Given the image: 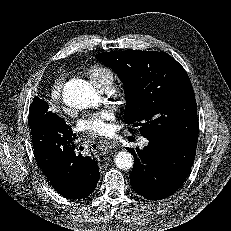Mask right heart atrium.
<instances>
[{
  "label": "right heart atrium",
  "instance_id": "1",
  "mask_svg": "<svg viewBox=\"0 0 231 231\" xmlns=\"http://www.w3.org/2000/svg\"><path fill=\"white\" fill-rule=\"evenodd\" d=\"M64 82H65L64 76H59L54 80L51 92H52V97L55 100L60 98Z\"/></svg>",
  "mask_w": 231,
  "mask_h": 231
}]
</instances>
